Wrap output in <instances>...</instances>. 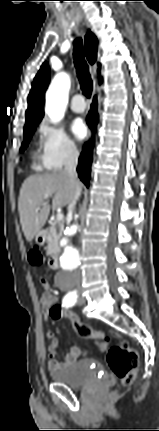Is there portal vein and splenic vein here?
Instances as JSON below:
<instances>
[{"instance_id": "obj_1", "label": "portal vein and splenic vein", "mask_w": 159, "mask_h": 431, "mask_svg": "<svg viewBox=\"0 0 159 431\" xmlns=\"http://www.w3.org/2000/svg\"><path fill=\"white\" fill-rule=\"evenodd\" d=\"M63 218H64V216H63V214H62V213H58V214H57V216H56V220H57V221H62V220H63Z\"/></svg>"}]
</instances>
